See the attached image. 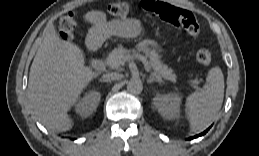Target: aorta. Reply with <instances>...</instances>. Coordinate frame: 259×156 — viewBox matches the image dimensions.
Segmentation results:
<instances>
[{
  "label": "aorta",
  "mask_w": 259,
  "mask_h": 156,
  "mask_svg": "<svg viewBox=\"0 0 259 156\" xmlns=\"http://www.w3.org/2000/svg\"><path fill=\"white\" fill-rule=\"evenodd\" d=\"M127 90L132 94H140L143 90L142 82L139 79H131L127 84Z\"/></svg>",
  "instance_id": "762f6f07"
}]
</instances>
